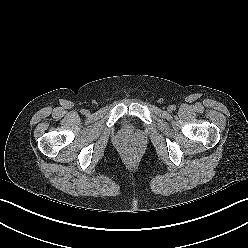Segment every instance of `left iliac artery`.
Here are the masks:
<instances>
[{
  "instance_id": "left-iliac-artery-1",
  "label": "left iliac artery",
  "mask_w": 248,
  "mask_h": 248,
  "mask_svg": "<svg viewBox=\"0 0 248 248\" xmlns=\"http://www.w3.org/2000/svg\"><path fill=\"white\" fill-rule=\"evenodd\" d=\"M171 107H172V110H175L176 109V106L175 105H172Z\"/></svg>"
}]
</instances>
